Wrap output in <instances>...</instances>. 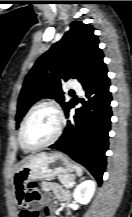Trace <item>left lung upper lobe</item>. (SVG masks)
<instances>
[{"label": "left lung upper lobe", "mask_w": 132, "mask_h": 217, "mask_svg": "<svg viewBox=\"0 0 132 217\" xmlns=\"http://www.w3.org/2000/svg\"><path fill=\"white\" fill-rule=\"evenodd\" d=\"M93 32L91 25L73 21L63 38L38 58L27 74L18 98L17 123L41 98H55L64 111H68L73 100L65 102L62 82L74 78L82 84L103 63L104 55Z\"/></svg>", "instance_id": "obj_1"}]
</instances>
